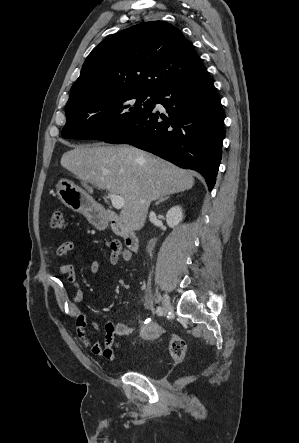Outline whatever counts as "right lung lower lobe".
<instances>
[{
    "mask_svg": "<svg viewBox=\"0 0 299 443\" xmlns=\"http://www.w3.org/2000/svg\"><path fill=\"white\" fill-rule=\"evenodd\" d=\"M161 104L166 111L154 109ZM224 133L220 97L206 69L174 81L155 93L153 108L104 140L130 144L180 167L200 172L212 190Z\"/></svg>",
    "mask_w": 299,
    "mask_h": 443,
    "instance_id": "obj_1",
    "label": "right lung lower lobe"
}]
</instances>
